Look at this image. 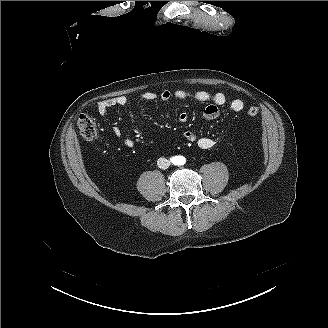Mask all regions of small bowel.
<instances>
[{
    "label": "small bowel",
    "mask_w": 328,
    "mask_h": 328,
    "mask_svg": "<svg viewBox=\"0 0 328 328\" xmlns=\"http://www.w3.org/2000/svg\"><path fill=\"white\" fill-rule=\"evenodd\" d=\"M171 98H176L178 100L192 99L198 102L210 103L202 111V116L206 120H213L218 118L220 115V107L227 103V97L222 92L210 93L203 90L190 92L183 89H177L173 91L169 89H164L160 92L146 91L140 94L137 100L150 102L156 100L167 101ZM128 102L129 99L126 96H117L114 98L105 99L97 104V112L100 115H104L109 109L119 106H125L126 104H128ZM229 107L233 112H241L244 109L245 105L241 99L236 98L229 102ZM178 120L180 122H186L188 120V113L181 112L178 115ZM113 133L115 136L121 137V131L119 128L114 127ZM183 138L189 142L196 143L197 146L203 150L210 149L215 144L214 140L211 137L200 135L195 130L184 131ZM123 143L126 147L129 148L134 146V141L131 139H124Z\"/></svg>",
    "instance_id": "small-bowel-1"
}]
</instances>
